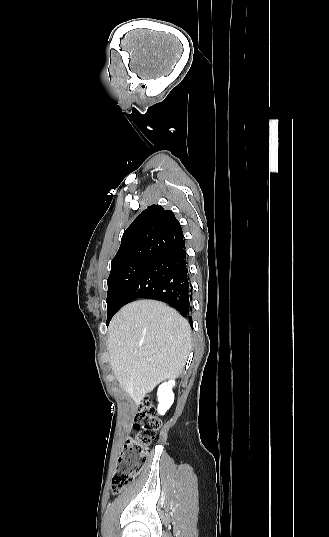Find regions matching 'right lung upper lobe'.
I'll list each match as a JSON object with an SVG mask.
<instances>
[{"label":"right lung upper lobe","instance_id":"1","mask_svg":"<svg viewBox=\"0 0 329 537\" xmlns=\"http://www.w3.org/2000/svg\"><path fill=\"white\" fill-rule=\"evenodd\" d=\"M183 239L181 225L174 214L151 205L124 232L111 270L135 260L152 261Z\"/></svg>","mask_w":329,"mask_h":537}]
</instances>
